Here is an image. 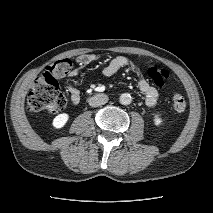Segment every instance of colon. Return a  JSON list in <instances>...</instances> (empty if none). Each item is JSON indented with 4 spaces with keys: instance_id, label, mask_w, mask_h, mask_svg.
<instances>
[{
    "instance_id": "obj_1",
    "label": "colon",
    "mask_w": 213,
    "mask_h": 213,
    "mask_svg": "<svg viewBox=\"0 0 213 213\" xmlns=\"http://www.w3.org/2000/svg\"><path fill=\"white\" fill-rule=\"evenodd\" d=\"M72 65L70 59L57 60L36 79L27 99V108L30 112L46 111L56 114L65 107L66 98L59 89L57 78L69 73ZM148 75L159 87L164 86L169 76L165 68L155 65L148 67ZM171 100L177 112L185 110L186 100L183 94L175 92Z\"/></svg>"
}]
</instances>
